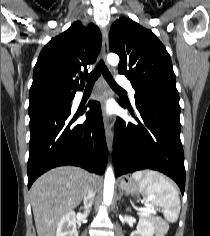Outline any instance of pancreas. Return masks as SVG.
Masks as SVG:
<instances>
[{
  "label": "pancreas",
  "instance_id": "cf45deb5",
  "mask_svg": "<svg viewBox=\"0 0 210 236\" xmlns=\"http://www.w3.org/2000/svg\"><path fill=\"white\" fill-rule=\"evenodd\" d=\"M148 218L153 222H155L159 219L158 217H153V216H150V217L148 216Z\"/></svg>",
  "mask_w": 210,
  "mask_h": 236
}]
</instances>
